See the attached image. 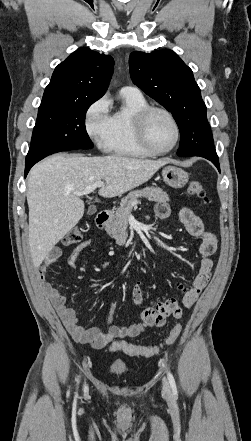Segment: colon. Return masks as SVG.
Wrapping results in <instances>:
<instances>
[{
    "mask_svg": "<svg viewBox=\"0 0 251 441\" xmlns=\"http://www.w3.org/2000/svg\"><path fill=\"white\" fill-rule=\"evenodd\" d=\"M188 193L190 196L202 199L205 203H208V198L205 193L203 184L199 180H191L188 186ZM82 239V230L80 228H73L67 232L61 239L62 246H71L78 243ZM182 332V326L176 324L166 338L159 344L140 346L128 343L126 341H115L112 343L110 350L112 352L122 351L130 356L134 357H149L159 352L163 347L173 344Z\"/></svg>",
    "mask_w": 251,
    "mask_h": 441,
    "instance_id": "colon-1",
    "label": "colon"
}]
</instances>
